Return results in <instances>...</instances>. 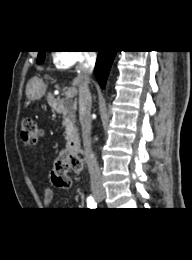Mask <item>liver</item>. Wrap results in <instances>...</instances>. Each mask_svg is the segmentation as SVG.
Segmentation results:
<instances>
[{"label": "liver", "mask_w": 192, "mask_h": 260, "mask_svg": "<svg viewBox=\"0 0 192 260\" xmlns=\"http://www.w3.org/2000/svg\"><path fill=\"white\" fill-rule=\"evenodd\" d=\"M33 79H36V81L40 80V79H38V78H33ZM41 81H42V80H41ZM73 84L76 85V86H78V84H79L78 78H76V79L73 81ZM27 89H28V87H27ZM27 89H26V95H27Z\"/></svg>", "instance_id": "obj_1"}]
</instances>
